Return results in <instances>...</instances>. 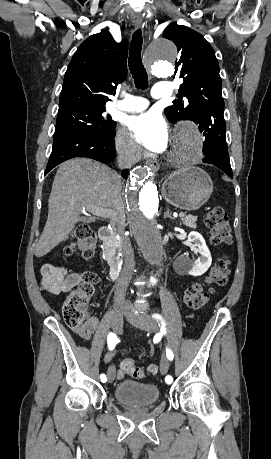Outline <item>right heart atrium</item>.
<instances>
[{
    "instance_id": "right-heart-atrium-1",
    "label": "right heart atrium",
    "mask_w": 271,
    "mask_h": 459,
    "mask_svg": "<svg viewBox=\"0 0 271 459\" xmlns=\"http://www.w3.org/2000/svg\"><path fill=\"white\" fill-rule=\"evenodd\" d=\"M117 151L129 162H136L141 157L140 148L132 141L125 129H119L115 137Z\"/></svg>"
}]
</instances>
